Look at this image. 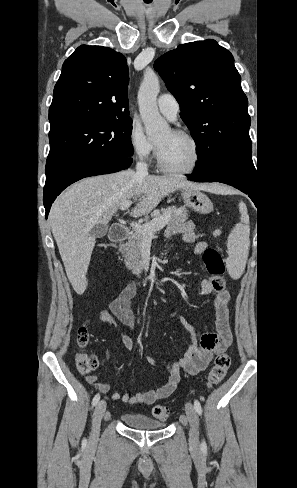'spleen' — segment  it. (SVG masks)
Segmentation results:
<instances>
[{
  "mask_svg": "<svg viewBox=\"0 0 297 488\" xmlns=\"http://www.w3.org/2000/svg\"><path fill=\"white\" fill-rule=\"evenodd\" d=\"M239 211L241 213V222L234 226L227 241L228 258L226 264L227 270L233 279H239L242 276L250 246L248 213L244 202H240Z\"/></svg>",
  "mask_w": 297,
  "mask_h": 488,
  "instance_id": "1",
  "label": "spleen"
}]
</instances>
